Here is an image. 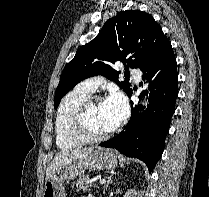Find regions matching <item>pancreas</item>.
Listing matches in <instances>:
<instances>
[{
  "label": "pancreas",
  "mask_w": 209,
  "mask_h": 197,
  "mask_svg": "<svg viewBox=\"0 0 209 197\" xmlns=\"http://www.w3.org/2000/svg\"><path fill=\"white\" fill-rule=\"evenodd\" d=\"M88 186H92V182L88 176H80L75 183L72 184V188H75L76 191H88Z\"/></svg>",
  "instance_id": "cf45deb5"
}]
</instances>
